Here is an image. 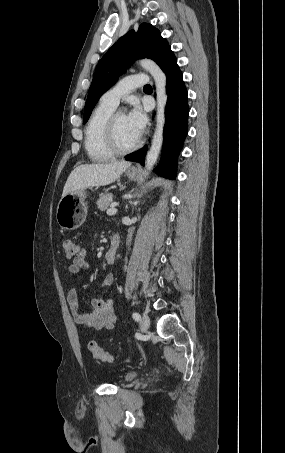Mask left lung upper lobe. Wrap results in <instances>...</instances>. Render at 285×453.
I'll use <instances>...</instances> for the list:
<instances>
[{
    "mask_svg": "<svg viewBox=\"0 0 285 453\" xmlns=\"http://www.w3.org/2000/svg\"><path fill=\"white\" fill-rule=\"evenodd\" d=\"M169 50L168 42L151 24L142 23L137 32L131 30L121 37L102 57L95 69L84 108L83 124L88 121L101 95L117 81L130 63L147 57L159 65Z\"/></svg>",
    "mask_w": 285,
    "mask_h": 453,
    "instance_id": "left-lung-upper-lobe-1",
    "label": "left lung upper lobe"
}]
</instances>
